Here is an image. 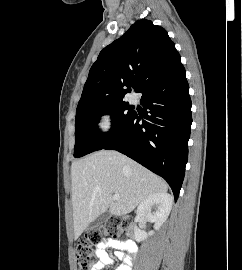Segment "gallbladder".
I'll use <instances>...</instances> for the list:
<instances>
[{"label":"gallbladder","mask_w":242,"mask_h":270,"mask_svg":"<svg viewBox=\"0 0 242 270\" xmlns=\"http://www.w3.org/2000/svg\"><path fill=\"white\" fill-rule=\"evenodd\" d=\"M111 217V213L109 212V210H106L105 212L101 213L92 223L91 225L88 227V230H91L95 227L104 225L109 218Z\"/></svg>","instance_id":"bac80fb5"}]
</instances>
